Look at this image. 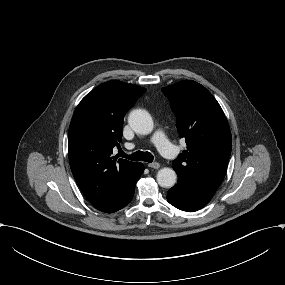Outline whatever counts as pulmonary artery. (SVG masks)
<instances>
[{"label": "pulmonary artery", "instance_id": "pulmonary-artery-1", "mask_svg": "<svg viewBox=\"0 0 285 285\" xmlns=\"http://www.w3.org/2000/svg\"><path fill=\"white\" fill-rule=\"evenodd\" d=\"M149 141L153 143L159 152L165 157H171L179 150L177 146H174L169 142L165 133L161 129H157L149 138ZM131 147H133V145H131Z\"/></svg>", "mask_w": 285, "mask_h": 285}]
</instances>
